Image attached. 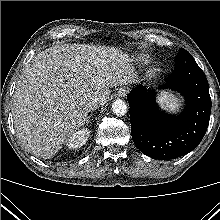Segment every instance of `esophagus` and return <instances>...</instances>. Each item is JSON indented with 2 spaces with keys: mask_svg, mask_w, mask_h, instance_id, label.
<instances>
[{
  "mask_svg": "<svg viewBox=\"0 0 220 220\" xmlns=\"http://www.w3.org/2000/svg\"><path fill=\"white\" fill-rule=\"evenodd\" d=\"M127 94V90L125 88H121L119 91H118V96L119 97H124L126 96Z\"/></svg>",
  "mask_w": 220,
  "mask_h": 220,
  "instance_id": "1",
  "label": "esophagus"
}]
</instances>
